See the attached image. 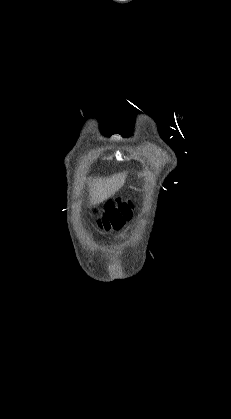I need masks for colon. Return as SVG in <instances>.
Here are the masks:
<instances>
[{
	"label": "colon",
	"instance_id": "5ec220e1",
	"mask_svg": "<svg viewBox=\"0 0 231 419\" xmlns=\"http://www.w3.org/2000/svg\"><path fill=\"white\" fill-rule=\"evenodd\" d=\"M132 207L127 202H120L117 208L109 205V211L106 216V223L114 229H119L122 223L129 219Z\"/></svg>",
	"mask_w": 231,
	"mask_h": 419
}]
</instances>
